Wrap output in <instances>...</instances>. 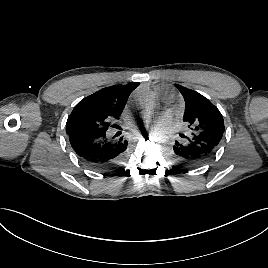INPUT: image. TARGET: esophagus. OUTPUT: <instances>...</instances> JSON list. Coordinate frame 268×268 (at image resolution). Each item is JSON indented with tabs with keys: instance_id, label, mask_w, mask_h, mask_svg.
Listing matches in <instances>:
<instances>
[{
	"instance_id": "1",
	"label": "esophagus",
	"mask_w": 268,
	"mask_h": 268,
	"mask_svg": "<svg viewBox=\"0 0 268 268\" xmlns=\"http://www.w3.org/2000/svg\"><path fill=\"white\" fill-rule=\"evenodd\" d=\"M139 138H145V137H149L150 136V133L149 132H147V131H142L141 133H139Z\"/></svg>"
}]
</instances>
